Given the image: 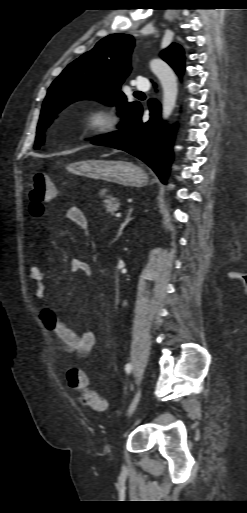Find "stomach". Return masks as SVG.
Masks as SVG:
<instances>
[{
    "label": "stomach",
    "instance_id": "0dacf381",
    "mask_svg": "<svg viewBox=\"0 0 247 513\" xmlns=\"http://www.w3.org/2000/svg\"><path fill=\"white\" fill-rule=\"evenodd\" d=\"M83 176L124 186H142L147 182L145 172L125 160H83L68 165Z\"/></svg>",
    "mask_w": 247,
    "mask_h": 513
}]
</instances>
